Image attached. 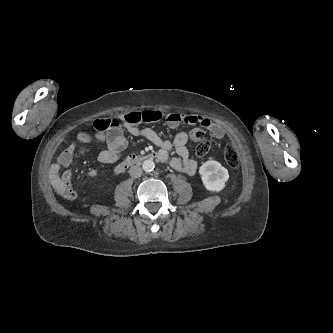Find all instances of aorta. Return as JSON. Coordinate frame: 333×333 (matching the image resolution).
<instances>
[{"label":"aorta","instance_id":"obj_1","mask_svg":"<svg viewBox=\"0 0 333 333\" xmlns=\"http://www.w3.org/2000/svg\"><path fill=\"white\" fill-rule=\"evenodd\" d=\"M155 164L151 159L143 161L142 168L145 172H151L154 170Z\"/></svg>","mask_w":333,"mask_h":333}]
</instances>
